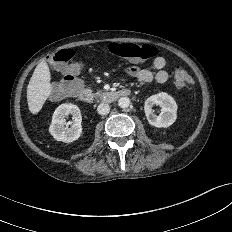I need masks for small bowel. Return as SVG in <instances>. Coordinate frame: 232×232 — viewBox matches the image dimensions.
<instances>
[{
    "mask_svg": "<svg viewBox=\"0 0 232 232\" xmlns=\"http://www.w3.org/2000/svg\"><path fill=\"white\" fill-rule=\"evenodd\" d=\"M165 66V58L157 56L152 63V67L155 72L144 68H132L130 71L141 83H151L153 81H156L157 83H165L169 78L168 72L165 70Z\"/></svg>",
    "mask_w": 232,
    "mask_h": 232,
    "instance_id": "1",
    "label": "small bowel"
}]
</instances>
